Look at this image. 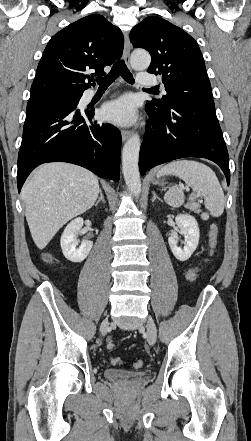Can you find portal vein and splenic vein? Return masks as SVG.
Instances as JSON below:
<instances>
[{
	"instance_id": "obj_1",
	"label": "portal vein and splenic vein",
	"mask_w": 251,
	"mask_h": 441,
	"mask_svg": "<svg viewBox=\"0 0 251 441\" xmlns=\"http://www.w3.org/2000/svg\"><path fill=\"white\" fill-rule=\"evenodd\" d=\"M186 191H189V188H186Z\"/></svg>"
}]
</instances>
